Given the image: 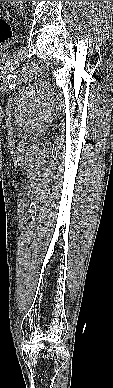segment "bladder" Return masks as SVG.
Segmentation results:
<instances>
[{
    "label": "bladder",
    "mask_w": 113,
    "mask_h": 388,
    "mask_svg": "<svg viewBox=\"0 0 113 388\" xmlns=\"http://www.w3.org/2000/svg\"><path fill=\"white\" fill-rule=\"evenodd\" d=\"M7 49V46H0V56H2L7 51Z\"/></svg>",
    "instance_id": "obj_1"
}]
</instances>
